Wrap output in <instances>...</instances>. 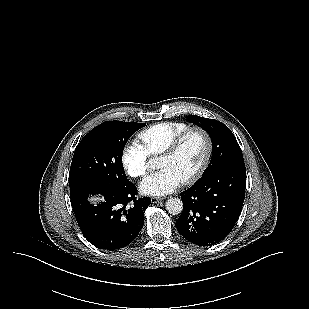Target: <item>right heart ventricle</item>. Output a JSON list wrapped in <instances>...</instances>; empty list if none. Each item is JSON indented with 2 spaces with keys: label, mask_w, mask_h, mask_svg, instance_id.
<instances>
[{
  "label": "right heart ventricle",
  "mask_w": 309,
  "mask_h": 309,
  "mask_svg": "<svg viewBox=\"0 0 309 309\" xmlns=\"http://www.w3.org/2000/svg\"><path fill=\"white\" fill-rule=\"evenodd\" d=\"M190 126L183 122H161L154 124L138 134V139L151 156L161 154L170 143Z\"/></svg>",
  "instance_id": "right-heart-ventricle-1"
}]
</instances>
